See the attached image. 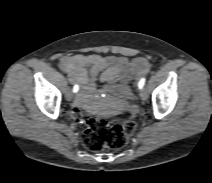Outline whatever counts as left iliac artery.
<instances>
[{
  "mask_svg": "<svg viewBox=\"0 0 212 183\" xmlns=\"http://www.w3.org/2000/svg\"><path fill=\"white\" fill-rule=\"evenodd\" d=\"M144 84H145V78H142L138 83V87L141 89L143 88Z\"/></svg>",
  "mask_w": 212,
  "mask_h": 183,
  "instance_id": "44dca946",
  "label": "left iliac artery"
}]
</instances>
